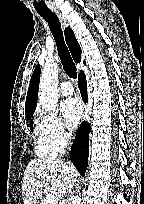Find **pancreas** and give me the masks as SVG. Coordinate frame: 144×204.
<instances>
[{"label":"pancreas","mask_w":144,"mask_h":204,"mask_svg":"<svg viewBox=\"0 0 144 204\" xmlns=\"http://www.w3.org/2000/svg\"><path fill=\"white\" fill-rule=\"evenodd\" d=\"M40 204H45V199H43Z\"/></svg>","instance_id":"cf45deb5"}]
</instances>
